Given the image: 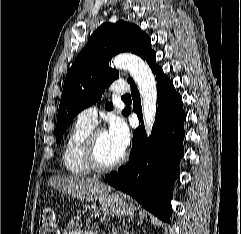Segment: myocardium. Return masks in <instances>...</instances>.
Segmentation results:
<instances>
[{"instance_id": "obj_1", "label": "myocardium", "mask_w": 241, "mask_h": 234, "mask_svg": "<svg viewBox=\"0 0 241 234\" xmlns=\"http://www.w3.org/2000/svg\"><path fill=\"white\" fill-rule=\"evenodd\" d=\"M103 129H93L87 136L84 145V158L88 166L96 172H108L119 167L126 160V154H123L113 163L104 164L100 161L97 152V134Z\"/></svg>"}]
</instances>
